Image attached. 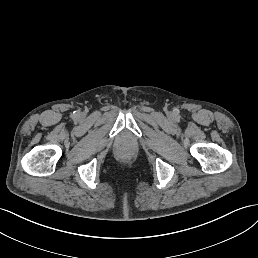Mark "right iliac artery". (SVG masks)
<instances>
[{
    "label": "right iliac artery",
    "mask_w": 258,
    "mask_h": 258,
    "mask_svg": "<svg viewBox=\"0 0 258 258\" xmlns=\"http://www.w3.org/2000/svg\"><path fill=\"white\" fill-rule=\"evenodd\" d=\"M79 113H80V111H78V110L74 111L75 115H78Z\"/></svg>",
    "instance_id": "1"
}]
</instances>
